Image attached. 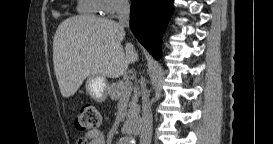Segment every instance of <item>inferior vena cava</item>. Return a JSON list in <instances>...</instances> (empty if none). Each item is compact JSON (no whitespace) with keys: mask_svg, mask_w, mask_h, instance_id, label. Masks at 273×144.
<instances>
[{"mask_svg":"<svg viewBox=\"0 0 273 144\" xmlns=\"http://www.w3.org/2000/svg\"><path fill=\"white\" fill-rule=\"evenodd\" d=\"M115 8L119 25L121 27L129 26L130 5L128 0H116ZM152 111L149 94L145 87L142 90V119L140 126V144H151L152 138Z\"/></svg>","mask_w":273,"mask_h":144,"instance_id":"inferior-vena-cava-1","label":"inferior vena cava"}]
</instances>
